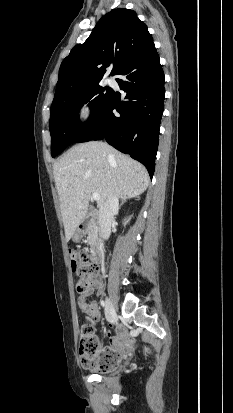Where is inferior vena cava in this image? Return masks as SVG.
Segmentation results:
<instances>
[{
    "label": "inferior vena cava",
    "mask_w": 233,
    "mask_h": 413,
    "mask_svg": "<svg viewBox=\"0 0 233 413\" xmlns=\"http://www.w3.org/2000/svg\"><path fill=\"white\" fill-rule=\"evenodd\" d=\"M119 200L115 194H110L103 206L99 209V223L103 239L107 240L111 234V221L118 212Z\"/></svg>",
    "instance_id": "1"
}]
</instances>
